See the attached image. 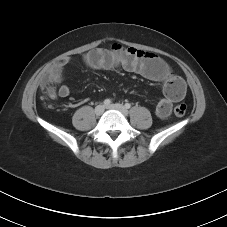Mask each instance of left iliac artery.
<instances>
[{"label": "left iliac artery", "mask_w": 227, "mask_h": 227, "mask_svg": "<svg viewBox=\"0 0 227 227\" xmlns=\"http://www.w3.org/2000/svg\"><path fill=\"white\" fill-rule=\"evenodd\" d=\"M130 107H131V104H129V103H126V104H125V108H126V109H129Z\"/></svg>", "instance_id": "44dca946"}]
</instances>
